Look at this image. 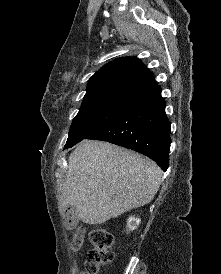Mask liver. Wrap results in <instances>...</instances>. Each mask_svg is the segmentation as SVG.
<instances>
[{"instance_id":"6515ba94","label":"liver","mask_w":221,"mask_h":274,"mask_svg":"<svg viewBox=\"0 0 221 274\" xmlns=\"http://www.w3.org/2000/svg\"><path fill=\"white\" fill-rule=\"evenodd\" d=\"M162 171L134 151L101 141H82L70 154L59 206L76 208L87 224L148 204L157 193Z\"/></svg>"}]
</instances>
